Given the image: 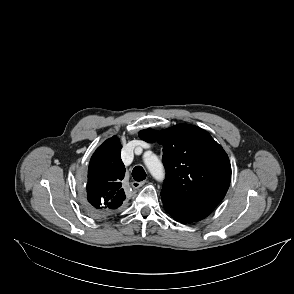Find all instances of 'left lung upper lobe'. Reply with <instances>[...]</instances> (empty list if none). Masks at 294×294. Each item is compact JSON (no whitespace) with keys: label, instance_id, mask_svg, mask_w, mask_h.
<instances>
[{"label":"left lung upper lobe","instance_id":"5c2ea615","mask_svg":"<svg viewBox=\"0 0 294 294\" xmlns=\"http://www.w3.org/2000/svg\"><path fill=\"white\" fill-rule=\"evenodd\" d=\"M139 137L163 145L166 179L161 197L167 211L197 222L223 200L231 181L228 155L211 135L194 125L178 124Z\"/></svg>","mask_w":294,"mask_h":294}]
</instances>
